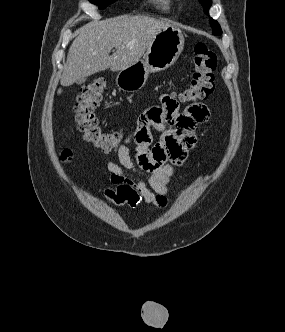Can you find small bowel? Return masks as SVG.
<instances>
[{
    "mask_svg": "<svg viewBox=\"0 0 285 332\" xmlns=\"http://www.w3.org/2000/svg\"><path fill=\"white\" fill-rule=\"evenodd\" d=\"M209 117L206 105L196 103L184 110L178 96H161L160 106H147L119 146L118 162H107L110 181L116 187L105 191L106 198L131 208L142 203L164 207L175 173L173 164L181 163L195 147V128L207 122ZM152 129L153 133H162L155 144ZM132 143L136 144L135 157L131 155ZM127 171L142 173L145 180H133Z\"/></svg>",
    "mask_w": 285,
    "mask_h": 332,
    "instance_id": "c3829d8e",
    "label": "small bowel"
}]
</instances>
